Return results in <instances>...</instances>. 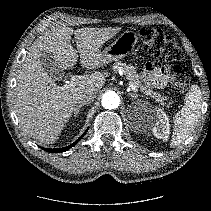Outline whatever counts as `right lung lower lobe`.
Here are the masks:
<instances>
[{
    "instance_id": "98d812e1",
    "label": "right lung lower lobe",
    "mask_w": 211,
    "mask_h": 211,
    "mask_svg": "<svg viewBox=\"0 0 211 211\" xmlns=\"http://www.w3.org/2000/svg\"><path fill=\"white\" fill-rule=\"evenodd\" d=\"M88 131V129L86 130V132ZM85 132V133H86ZM84 133V134H85ZM84 134L81 136V138L84 136ZM80 139H78L77 141H75L74 143H72L71 145H69L68 147H63V148H56V149H48V148H42L43 150L50 152V153H60V152H64L68 149H70L71 147L75 146L76 143L79 141Z\"/></svg>"
}]
</instances>
